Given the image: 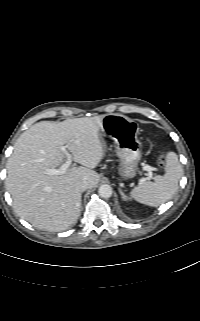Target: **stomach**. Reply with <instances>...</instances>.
<instances>
[{"label": "stomach", "mask_w": 200, "mask_h": 321, "mask_svg": "<svg viewBox=\"0 0 200 321\" xmlns=\"http://www.w3.org/2000/svg\"><path fill=\"white\" fill-rule=\"evenodd\" d=\"M101 131L104 136L115 142V151L120 160L118 172L121 178L129 180L135 177L142 155L137 122L121 114H107L103 117Z\"/></svg>", "instance_id": "stomach-1"}]
</instances>
